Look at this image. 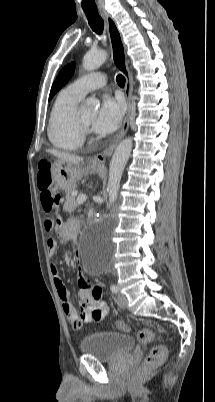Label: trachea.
<instances>
[{
	"instance_id": "1",
	"label": "trachea",
	"mask_w": 215,
	"mask_h": 402,
	"mask_svg": "<svg viewBox=\"0 0 215 402\" xmlns=\"http://www.w3.org/2000/svg\"><path fill=\"white\" fill-rule=\"evenodd\" d=\"M84 12L87 16L88 23L92 30L97 33L98 35H101L104 30V22L101 16L98 13L97 9H84ZM116 81L119 86L124 87L125 85V77H123L121 74L117 75Z\"/></svg>"
}]
</instances>
